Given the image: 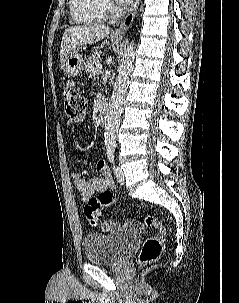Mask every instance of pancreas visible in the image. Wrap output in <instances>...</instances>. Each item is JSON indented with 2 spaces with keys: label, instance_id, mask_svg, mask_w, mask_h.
<instances>
[{
  "label": "pancreas",
  "instance_id": "obj_1",
  "mask_svg": "<svg viewBox=\"0 0 239 303\" xmlns=\"http://www.w3.org/2000/svg\"><path fill=\"white\" fill-rule=\"evenodd\" d=\"M100 51H94L86 60L85 71L89 75L97 74V66L100 65Z\"/></svg>",
  "mask_w": 239,
  "mask_h": 303
}]
</instances>
